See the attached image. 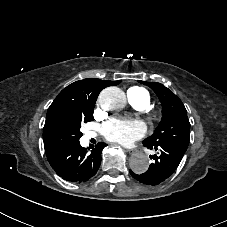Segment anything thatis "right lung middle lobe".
I'll return each mask as SVG.
<instances>
[{
  "mask_svg": "<svg viewBox=\"0 0 227 227\" xmlns=\"http://www.w3.org/2000/svg\"><path fill=\"white\" fill-rule=\"evenodd\" d=\"M94 105L59 103L48 109L43 129L45 152L52 153L79 142L81 124L93 120Z\"/></svg>",
  "mask_w": 227,
  "mask_h": 227,
  "instance_id": "obj_1",
  "label": "right lung middle lobe"
}]
</instances>
